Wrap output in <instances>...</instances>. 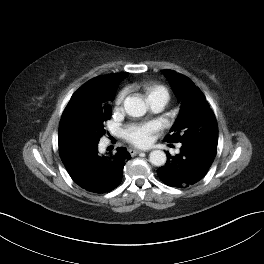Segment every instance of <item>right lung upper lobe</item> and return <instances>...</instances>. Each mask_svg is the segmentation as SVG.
Listing matches in <instances>:
<instances>
[{
  "instance_id": "1",
  "label": "right lung upper lobe",
  "mask_w": 264,
  "mask_h": 264,
  "mask_svg": "<svg viewBox=\"0 0 264 264\" xmlns=\"http://www.w3.org/2000/svg\"><path fill=\"white\" fill-rule=\"evenodd\" d=\"M127 76L128 73H113L96 77L85 83L73 94L65 108L59 132L76 116L107 105V102L113 99L118 84Z\"/></svg>"
}]
</instances>
